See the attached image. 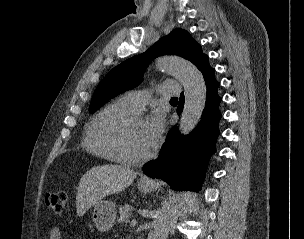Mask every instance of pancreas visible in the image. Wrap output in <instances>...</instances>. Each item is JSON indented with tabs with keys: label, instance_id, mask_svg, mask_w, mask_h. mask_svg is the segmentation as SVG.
I'll return each instance as SVG.
<instances>
[{
	"label": "pancreas",
	"instance_id": "cf45deb5",
	"mask_svg": "<svg viewBox=\"0 0 304 239\" xmlns=\"http://www.w3.org/2000/svg\"><path fill=\"white\" fill-rule=\"evenodd\" d=\"M131 206L125 204L119 208L118 223H127L131 218Z\"/></svg>",
	"mask_w": 304,
	"mask_h": 239
}]
</instances>
